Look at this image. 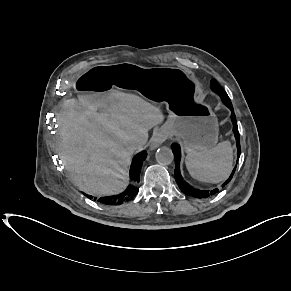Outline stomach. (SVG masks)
Returning a JSON list of instances; mask_svg holds the SVG:
<instances>
[{
  "label": "stomach",
  "instance_id": "0dacf381",
  "mask_svg": "<svg viewBox=\"0 0 291 291\" xmlns=\"http://www.w3.org/2000/svg\"><path fill=\"white\" fill-rule=\"evenodd\" d=\"M76 87L89 94L132 90L152 102H163L169 117L162 131L180 138L188 153L211 149L218 141L217 118L202 102L198 80L183 68L97 65Z\"/></svg>",
  "mask_w": 291,
  "mask_h": 291
}]
</instances>
